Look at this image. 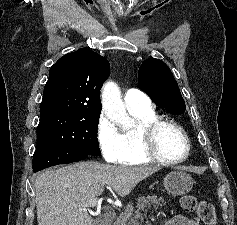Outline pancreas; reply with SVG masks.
<instances>
[{"label":"pancreas","mask_w":237,"mask_h":225,"mask_svg":"<svg viewBox=\"0 0 237 225\" xmlns=\"http://www.w3.org/2000/svg\"><path fill=\"white\" fill-rule=\"evenodd\" d=\"M164 204L165 203L163 198H158L155 195L139 197L137 200L136 205L137 210L135 211V215L132 218H130L127 225H138L139 224L138 219H140L141 216L143 215L141 211L145 210L146 208L150 209L151 207L159 208Z\"/></svg>","instance_id":"obj_1"}]
</instances>
